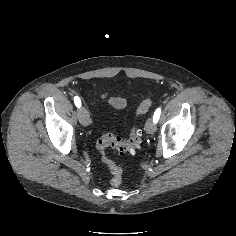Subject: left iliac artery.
<instances>
[{
    "mask_svg": "<svg viewBox=\"0 0 236 236\" xmlns=\"http://www.w3.org/2000/svg\"><path fill=\"white\" fill-rule=\"evenodd\" d=\"M160 114H161V108H157L156 111L154 112V115H153V121L155 123L158 122V120L160 118Z\"/></svg>",
    "mask_w": 236,
    "mask_h": 236,
    "instance_id": "44dca946",
    "label": "left iliac artery"
}]
</instances>
